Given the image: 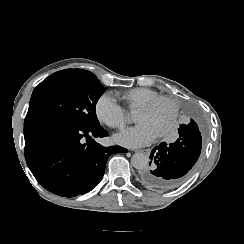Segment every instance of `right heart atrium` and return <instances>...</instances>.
Instances as JSON below:
<instances>
[{"label":"right heart atrium","instance_id":"d8ad5b80","mask_svg":"<svg viewBox=\"0 0 244 244\" xmlns=\"http://www.w3.org/2000/svg\"><path fill=\"white\" fill-rule=\"evenodd\" d=\"M94 110L98 120L111 128L122 130L129 121L126 110L109 93L99 96Z\"/></svg>","mask_w":244,"mask_h":244}]
</instances>
